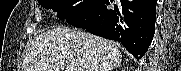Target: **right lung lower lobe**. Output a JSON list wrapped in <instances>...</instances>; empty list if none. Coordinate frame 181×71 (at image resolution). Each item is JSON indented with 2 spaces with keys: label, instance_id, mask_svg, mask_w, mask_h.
Wrapping results in <instances>:
<instances>
[{
  "label": "right lung lower lobe",
  "instance_id": "98d812e1",
  "mask_svg": "<svg viewBox=\"0 0 181 71\" xmlns=\"http://www.w3.org/2000/svg\"><path fill=\"white\" fill-rule=\"evenodd\" d=\"M97 0L66 21L88 32L121 42L136 58L147 52L154 36L157 0Z\"/></svg>",
  "mask_w": 181,
  "mask_h": 71
}]
</instances>
